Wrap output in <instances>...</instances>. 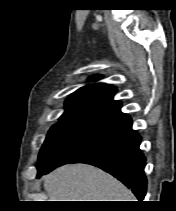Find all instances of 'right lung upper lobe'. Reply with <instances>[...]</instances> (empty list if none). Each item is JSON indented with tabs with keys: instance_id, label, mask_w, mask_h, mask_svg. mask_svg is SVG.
Segmentation results:
<instances>
[{
	"instance_id": "cb5924a9",
	"label": "right lung upper lobe",
	"mask_w": 176,
	"mask_h": 211,
	"mask_svg": "<svg viewBox=\"0 0 176 211\" xmlns=\"http://www.w3.org/2000/svg\"><path fill=\"white\" fill-rule=\"evenodd\" d=\"M92 76L90 81L100 79ZM117 89L104 83L86 85L72 93L65 102L66 110L61 118L100 124L121 116V103L113 100Z\"/></svg>"
}]
</instances>
